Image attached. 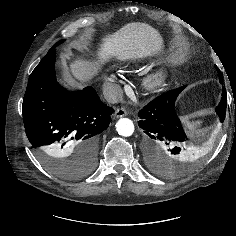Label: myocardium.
Wrapping results in <instances>:
<instances>
[{
  "label": "myocardium",
  "mask_w": 236,
  "mask_h": 236,
  "mask_svg": "<svg viewBox=\"0 0 236 236\" xmlns=\"http://www.w3.org/2000/svg\"><path fill=\"white\" fill-rule=\"evenodd\" d=\"M166 79V72L164 70H157L149 74L146 78V88L151 91H157L161 88Z\"/></svg>",
  "instance_id": "1"
}]
</instances>
